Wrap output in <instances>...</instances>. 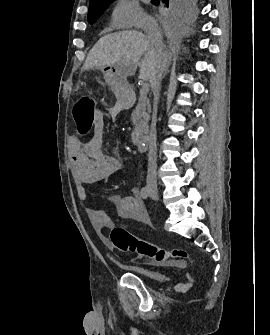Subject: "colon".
<instances>
[{
  "mask_svg": "<svg viewBox=\"0 0 270 335\" xmlns=\"http://www.w3.org/2000/svg\"><path fill=\"white\" fill-rule=\"evenodd\" d=\"M76 107L79 108L74 110L77 133L82 136L88 135L93 128L96 104L92 99L82 98L76 103ZM110 239L119 251L135 253L158 264L185 267L188 263L196 262L195 258L183 248H162L139 238L125 228L114 227L110 232Z\"/></svg>",
  "mask_w": 270,
  "mask_h": 335,
  "instance_id": "colon-1",
  "label": "colon"
}]
</instances>
